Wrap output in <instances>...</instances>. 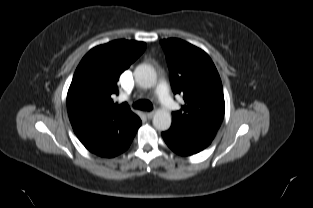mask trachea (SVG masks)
<instances>
[{"label": "trachea", "instance_id": "trachea-1", "mask_svg": "<svg viewBox=\"0 0 313 208\" xmlns=\"http://www.w3.org/2000/svg\"><path fill=\"white\" fill-rule=\"evenodd\" d=\"M133 107L139 110L150 111L153 108V105L148 100H139L133 104Z\"/></svg>", "mask_w": 313, "mask_h": 208}]
</instances>
